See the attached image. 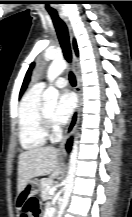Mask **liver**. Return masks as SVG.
<instances>
[{
  "mask_svg": "<svg viewBox=\"0 0 132 217\" xmlns=\"http://www.w3.org/2000/svg\"><path fill=\"white\" fill-rule=\"evenodd\" d=\"M59 150L54 147H37L22 152L18 161L17 190L21 193L32 178L61 173L58 162Z\"/></svg>",
  "mask_w": 132,
  "mask_h": 217,
  "instance_id": "1",
  "label": "liver"
}]
</instances>
